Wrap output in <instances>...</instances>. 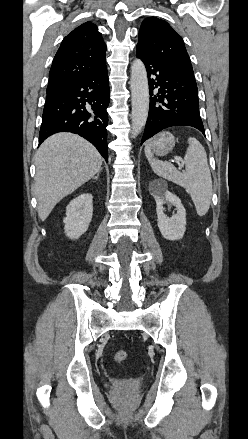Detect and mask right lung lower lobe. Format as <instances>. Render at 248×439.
<instances>
[{
	"instance_id": "obj_1",
	"label": "right lung lower lobe",
	"mask_w": 248,
	"mask_h": 439,
	"mask_svg": "<svg viewBox=\"0 0 248 439\" xmlns=\"http://www.w3.org/2000/svg\"><path fill=\"white\" fill-rule=\"evenodd\" d=\"M109 81L106 65L47 93L39 145L57 132H72L90 141L108 161Z\"/></svg>"
}]
</instances>
